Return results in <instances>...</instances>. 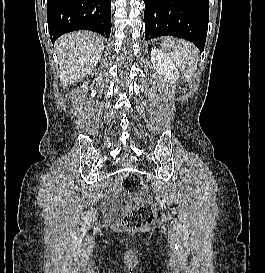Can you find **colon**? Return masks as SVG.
I'll list each match as a JSON object with an SVG mask.
<instances>
[{"label":"colon","mask_w":265,"mask_h":273,"mask_svg":"<svg viewBox=\"0 0 265 273\" xmlns=\"http://www.w3.org/2000/svg\"><path fill=\"white\" fill-rule=\"evenodd\" d=\"M122 186L130 198L129 204L122 212L120 226L127 229H144L154 220V207L143 197V182L137 173H127L122 180Z\"/></svg>","instance_id":"1"}]
</instances>
